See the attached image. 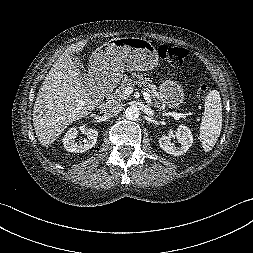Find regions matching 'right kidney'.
I'll return each instance as SVG.
<instances>
[{
  "label": "right kidney",
  "instance_id": "ca27d5eb",
  "mask_svg": "<svg viewBox=\"0 0 253 253\" xmlns=\"http://www.w3.org/2000/svg\"><path fill=\"white\" fill-rule=\"evenodd\" d=\"M87 139L82 142H77L78 131L76 128H70L63 138V145L66 151L81 153L91 149L97 141L98 131L89 128L86 132Z\"/></svg>",
  "mask_w": 253,
  "mask_h": 253
}]
</instances>
